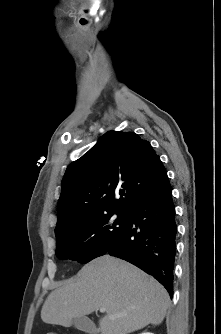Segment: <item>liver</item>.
<instances>
[{
  "label": "liver",
  "mask_w": 221,
  "mask_h": 334,
  "mask_svg": "<svg viewBox=\"0 0 221 334\" xmlns=\"http://www.w3.org/2000/svg\"><path fill=\"white\" fill-rule=\"evenodd\" d=\"M168 306L167 291L153 277L127 261L104 255L48 295L41 319L69 327L74 318L105 308L99 332L128 334L161 324Z\"/></svg>",
  "instance_id": "1"
}]
</instances>
